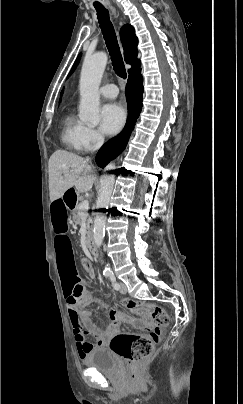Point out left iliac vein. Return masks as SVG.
I'll return each mask as SVG.
<instances>
[{"instance_id": "1", "label": "left iliac vein", "mask_w": 243, "mask_h": 404, "mask_svg": "<svg viewBox=\"0 0 243 404\" xmlns=\"http://www.w3.org/2000/svg\"><path fill=\"white\" fill-rule=\"evenodd\" d=\"M119 286H120L119 291H120L122 294H126V293H127V287H126V285L121 282Z\"/></svg>"}]
</instances>
